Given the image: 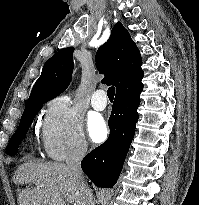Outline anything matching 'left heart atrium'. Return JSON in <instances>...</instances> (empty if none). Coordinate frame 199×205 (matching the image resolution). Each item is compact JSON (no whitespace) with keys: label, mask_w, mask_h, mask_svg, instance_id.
<instances>
[{"label":"left heart atrium","mask_w":199,"mask_h":205,"mask_svg":"<svg viewBox=\"0 0 199 205\" xmlns=\"http://www.w3.org/2000/svg\"><path fill=\"white\" fill-rule=\"evenodd\" d=\"M88 132L94 142H101L107 136L108 130L101 117H92L88 122Z\"/></svg>","instance_id":"left-heart-atrium-1"}]
</instances>
